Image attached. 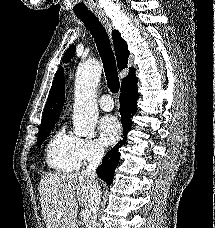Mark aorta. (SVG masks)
Masks as SVG:
<instances>
[{"label":"aorta","mask_w":215,"mask_h":228,"mask_svg":"<svg viewBox=\"0 0 215 228\" xmlns=\"http://www.w3.org/2000/svg\"><path fill=\"white\" fill-rule=\"evenodd\" d=\"M100 76L101 66L97 60H87L76 72L73 128L77 136H91L96 128L98 108L95 94Z\"/></svg>","instance_id":"762f6f07"}]
</instances>
